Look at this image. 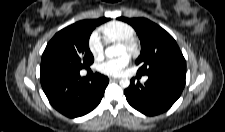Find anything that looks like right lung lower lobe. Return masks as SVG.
<instances>
[{
	"label": "right lung lower lobe",
	"instance_id": "98d812e1",
	"mask_svg": "<svg viewBox=\"0 0 225 132\" xmlns=\"http://www.w3.org/2000/svg\"><path fill=\"white\" fill-rule=\"evenodd\" d=\"M40 81L50 104L63 115L83 116L100 103L109 79L96 73L92 80L79 73H41Z\"/></svg>",
	"mask_w": 225,
	"mask_h": 132
}]
</instances>
